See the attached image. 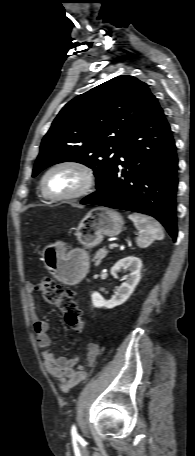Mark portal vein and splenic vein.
Returning a JSON list of instances; mask_svg holds the SVG:
<instances>
[{
	"label": "portal vein and splenic vein",
	"mask_w": 195,
	"mask_h": 456,
	"mask_svg": "<svg viewBox=\"0 0 195 456\" xmlns=\"http://www.w3.org/2000/svg\"><path fill=\"white\" fill-rule=\"evenodd\" d=\"M115 246H116V245L112 243V244H109L108 247H109V249H113Z\"/></svg>",
	"instance_id": "1"
}]
</instances>
